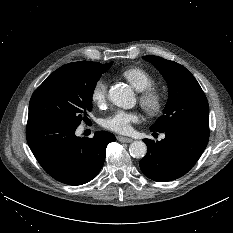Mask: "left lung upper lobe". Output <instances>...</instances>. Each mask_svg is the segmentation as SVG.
<instances>
[{
    "instance_id": "left-lung-upper-lobe-1",
    "label": "left lung upper lobe",
    "mask_w": 233,
    "mask_h": 233,
    "mask_svg": "<svg viewBox=\"0 0 233 233\" xmlns=\"http://www.w3.org/2000/svg\"><path fill=\"white\" fill-rule=\"evenodd\" d=\"M163 75L169 88L164 114L150 129L163 132L186 122L209 123L207 98L194 76L182 65L158 56H144Z\"/></svg>"
}]
</instances>
